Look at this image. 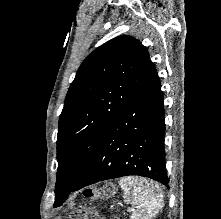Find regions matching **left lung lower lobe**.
Returning <instances> with one entry per match:
<instances>
[{"mask_svg": "<svg viewBox=\"0 0 221 219\" xmlns=\"http://www.w3.org/2000/svg\"><path fill=\"white\" fill-rule=\"evenodd\" d=\"M163 100L154 68L140 91L105 132L72 191L129 175L149 177L168 186Z\"/></svg>", "mask_w": 221, "mask_h": 219, "instance_id": "1", "label": "left lung lower lobe"}]
</instances>
